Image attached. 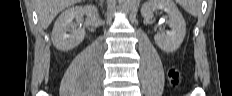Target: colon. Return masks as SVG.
Listing matches in <instances>:
<instances>
[{
  "label": "colon",
  "instance_id": "colon-1",
  "mask_svg": "<svg viewBox=\"0 0 232 96\" xmlns=\"http://www.w3.org/2000/svg\"><path fill=\"white\" fill-rule=\"evenodd\" d=\"M168 75H169V77L172 80L174 85L179 84L180 74H179V71L176 68H174V67L170 68L169 71H168Z\"/></svg>",
  "mask_w": 232,
  "mask_h": 96
}]
</instances>
